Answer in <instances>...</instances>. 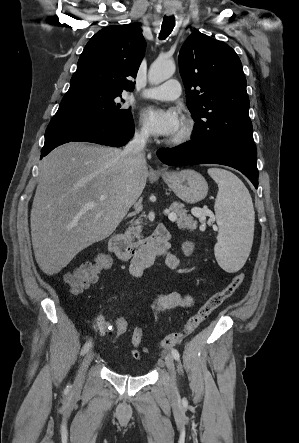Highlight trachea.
I'll return each instance as SVG.
<instances>
[{
	"mask_svg": "<svg viewBox=\"0 0 299 443\" xmlns=\"http://www.w3.org/2000/svg\"><path fill=\"white\" fill-rule=\"evenodd\" d=\"M175 26V19L173 16H165L162 22L161 31L159 34V39L164 40L166 39L170 33L172 32L173 28Z\"/></svg>",
	"mask_w": 299,
	"mask_h": 443,
	"instance_id": "3493384b",
	"label": "trachea"
}]
</instances>
